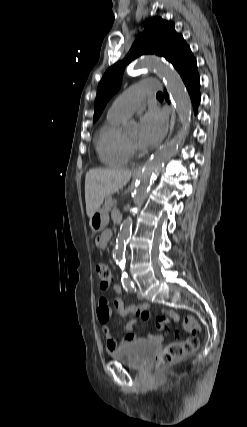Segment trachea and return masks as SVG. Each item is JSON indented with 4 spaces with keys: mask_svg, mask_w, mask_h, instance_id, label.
<instances>
[{
    "mask_svg": "<svg viewBox=\"0 0 247 427\" xmlns=\"http://www.w3.org/2000/svg\"><path fill=\"white\" fill-rule=\"evenodd\" d=\"M157 97H162L163 96V94L161 93V92H159V93H157V95H156Z\"/></svg>",
    "mask_w": 247,
    "mask_h": 427,
    "instance_id": "1",
    "label": "trachea"
}]
</instances>
